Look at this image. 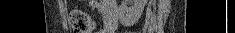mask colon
<instances>
[{
	"label": "colon",
	"mask_w": 235,
	"mask_h": 33,
	"mask_svg": "<svg viewBox=\"0 0 235 33\" xmlns=\"http://www.w3.org/2000/svg\"><path fill=\"white\" fill-rule=\"evenodd\" d=\"M70 25L74 33H92L95 29V21L87 12L74 10L70 13Z\"/></svg>",
	"instance_id": "colon-1"
}]
</instances>
